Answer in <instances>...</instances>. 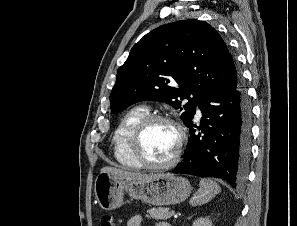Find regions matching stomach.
Returning a JSON list of instances; mask_svg holds the SVG:
<instances>
[{
  "instance_id": "1",
  "label": "stomach",
  "mask_w": 297,
  "mask_h": 226,
  "mask_svg": "<svg viewBox=\"0 0 297 226\" xmlns=\"http://www.w3.org/2000/svg\"><path fill=\"white\" fill-rule=\"evenodd\" d=\"M95 197L104 210H112L123 204L124 195L152 205H170L184 201L191 193L187 179L172 174L128 181L118 179L110 173L101 172L94 184Z\"/></svg>"
}]
</instances>
